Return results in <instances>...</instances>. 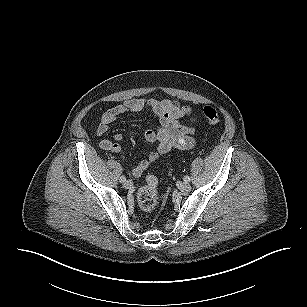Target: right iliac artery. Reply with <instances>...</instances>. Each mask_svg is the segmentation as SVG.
Masks as SVG:
<instances>
[{
  "instance_id": "obj_1",
  "label": "right iliac artery",
  "mask_w": 307,
  "mask_h": 307,
  "mask_svg": "<svg viewBox=\"0 0 307 307\" xmlns=\"http://www.w3.org/2000/svg\"><path fill=\"white\" fill-rule=\"evenodd\" d=\"M119 180L121 183H124L126 181V178L124 176H121Z\"/></svg>"
}]
</instances>
